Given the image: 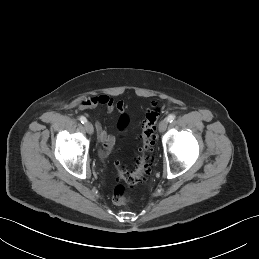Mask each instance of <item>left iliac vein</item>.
Returning <instances> with one entry per match:
<instances>
[{
    "instance_id": "1",
    "label": "left iliac vein",
    "mask_w": 259,
    "mask_h": 259,
    "mask_svg": "<svg viewBox=\"0 0 259 259\" xmlns=\"http://www.w3.org/2000/svg\"><path fill=\"white\" fill-rule=\"evenodd\" d=\"M168 126V121L166 119H163L160 123H159V132L163 133Z\"/></svg>"
}]
</instances>
